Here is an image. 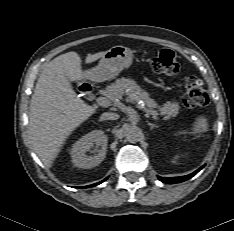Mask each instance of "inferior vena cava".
<instances>
[{"label":"inferior vena cava","mask_w":234,"mask_h":231,"mask_svg":"<svg viewBox=\"0 0 234 231\" xmlns=\"http://www.w3.org/2000/svg\"><path fill=\"white\" fill-rule=\"evenodd\" d=\"M119 115L113 112H105L101 115L102 120H117Z\"/></svg>","instance_id":"obj_1"}]
</instances>
